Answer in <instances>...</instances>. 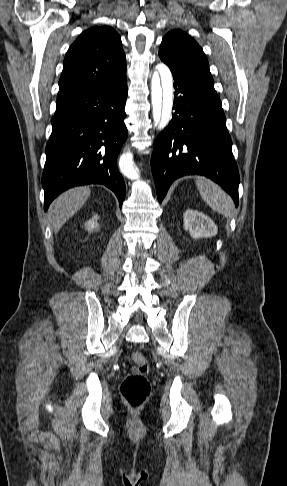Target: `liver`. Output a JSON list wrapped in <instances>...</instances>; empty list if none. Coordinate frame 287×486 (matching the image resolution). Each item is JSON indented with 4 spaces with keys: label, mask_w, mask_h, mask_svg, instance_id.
I'll use <instances>...</instances> for the list:
<instances>
[{
    "label": "liver",
    "mask_w": 287,
    "mask_h": 486,
    "mask_svg": "<svg viewBox=\"0 0 287 486\" xmlns=\"http://www.w3.org/2000/svg\"><path fill=\"white\" fill-rule=\"evenodd\" d=\"M89 187H75L55 199L49 208V219L52 228L57 233L65 222L77 213L90 196Z\"/></svg>",
    "instance_id": "liver-1"
}]
</instances>
